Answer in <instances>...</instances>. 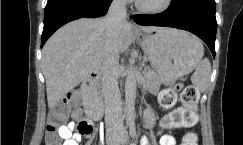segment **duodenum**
<instances>
[{"instance_id":"410a0bca","label":"duodenum","mask_w":243,"mask_h":145,"mask_svg":"<svg viewBox=\"0 0 243 145\" xmlns=\"http://www.w3.org/2000/svg\"><path fill=\"white\" fill-rule=\"evenodd\" d=\"M99 69L93 70L82 85V96L86 115L97 121L103 113V101L98 92Z\"/></svg>"}]
</instances>
